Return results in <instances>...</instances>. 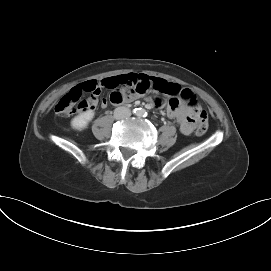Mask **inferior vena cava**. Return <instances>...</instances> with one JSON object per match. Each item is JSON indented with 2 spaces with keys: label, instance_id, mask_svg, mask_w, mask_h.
Instances as JSON below:
<instances>
[{
  "label": "inferior vena cava",
  "instance_id": "obj_1",
  "mask_svg": "<svg viewBox=\"0 0 271 271\" xmlns=\"http://www.w3.org/2000/svg\"><path fill=\"white\" fill-rule=\"evenodd\" d=\"M114 116L117 119L127 118L131 116V111L126 107H118L114 110Z\"/></svg>",
  "mask_w": 271,
  "mask_h": 271
}]
</instances>
